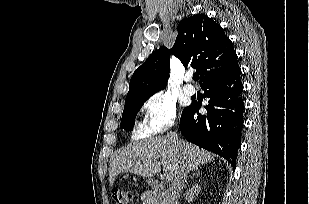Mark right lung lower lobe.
<instances>
[{
    "label": "right lung lower lobe",
    "instance_id": "obj_1",
    "mask_svg": "<svg viewBox=\"0 0 309 204\" xmlns=\"http://www.w3.org/2000/svg\"><path fill=\"white\" fill-rule=\"evenodd\" d=\"M238 64L230 71L205 81L201 88L209 105L206 115L200 105L186 107L179 128L183 136L199 147L222 156L235 166L244 126L243 84Z\"/></svg>",
    "mask_w": 309,
    "mask_h": 204
}]
</instances>
